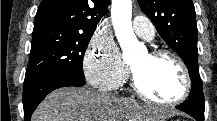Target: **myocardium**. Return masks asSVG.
<instances>
[{
  "mask_svg": "<svg viewBox=\"0 0 217 121\" xmlns=\"http://www.w3.org/2000/svg\"><path fill=\"white\" fill-rule=\"evenodd\" d=\"M149 57L153 59H158L162 57H167L170 58L175 65L178 67L180 70L181 76H182V89L180 93L173 99L168 100V101H161L159 99H156L152 96H150L140 85L139 80L133 71V69L130 67L129 72H130V79H131V85L132 89L135 92L137 96H139L141 99L152 103L156 105H162V106H175L183 102L184 100L187 99V97L190 94L191 87H192V82L190 78V74L188 71V68L182 58L178 56L176 53L170 50H165V49H158V50H153L148 53Z\"/></svg>",
  "mask_w": 217,
  "mask_h": 121,
  "instance_id": "f54148a6",
  "label": "myocardium"
}]
</instances>
